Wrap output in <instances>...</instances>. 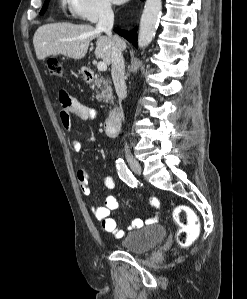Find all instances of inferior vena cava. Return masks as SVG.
<instances>
[{"label": "inferior vena cava", "instance_id": "1", "mask_svg": "<svg viewBox=\"0 0 247 299\" xmlns=\"http://www.w3.org/2000/svg\"><path fill=\"white\" fill-rule=\"evenodd\" d=\"M113 23L114 13L112 11L111 5L105 3L100 8L99 21L96 25V29L99 31H104L107 36L112 39ZM111 63V74L115 90L119 100H122L126 97V84L124 79L125 66L121 50L115 45V43L112 44ZM125 151H128L127 144L125 145Z\"/></svg>", "mask_w": 247, "mask_h": 299}]
</instances>
